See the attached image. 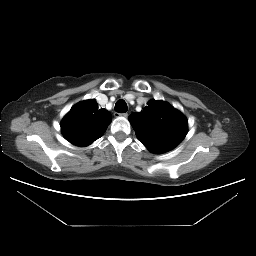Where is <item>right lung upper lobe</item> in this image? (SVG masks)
Segmentation results:
<instances>
[{
  "label": "right lung upper lobe",
  "mask_w": 256,
  "mask_h": 256,
  "mask_svg": "<svg viewBox=\"0 0 256 256\" xmlns=\"http://www.w3.org/2000/svg\"><path fill=\"white\" fill-rule=\"evenodd\" d=\"M111 121L110 113L98 110L94 100L75 105L63 118L62 133L74 145L87 146L100 138Z\"/></svg>",
  "instance_id": "1"
}]
</instances>
